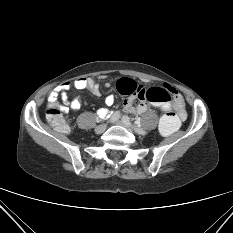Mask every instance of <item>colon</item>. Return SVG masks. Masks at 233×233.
I'll return each mask as SVG.
<instances>
[{"label": "colon", "instance_id": "obj_1", "mask_svg": "<svg viewBox=\"0 0 233 233\" xmlns=\"http://www.w3.org/2000/svg\"><path fill=\"white\" fill-rule=\"evenodd\" d=\"M116 88L119 93L137 97L141 101L150 102L163 110L159 122V131L163 136H171L177 132L181 124L179 115L172 111V94L164 87L145 88L131 79H121ZM48 122L60 133H67L69 125L57 103H51L47 110Z\"/></svg>", "mask_w": 233, "mask_h": 233}]
</instances>
